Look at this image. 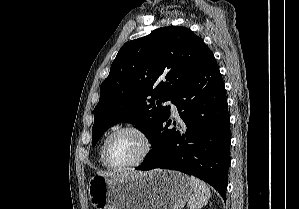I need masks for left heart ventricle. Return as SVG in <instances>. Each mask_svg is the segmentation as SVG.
I'll return each mask as SVG.
<instances>
[{
    "label": "left heart ventricle",
    "mask_w": 299,
    "mask_h": 209,
    "mask_svg": "<svg viewBox=\"0 0 299 209\" xmlns=\"http://www.w3.org/2000/svg\"><path fill=\"white\" fill-rule=\"evenodd\" d=\"M143 147L142 140L135 133H120L111 141L108 154L109 161L115 166L132 163L141 155Z\"/></svg>",
    "instance_id": "left-heart-ventricle-1"
}]
</instances>
